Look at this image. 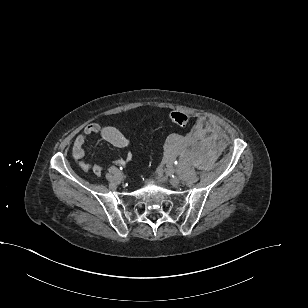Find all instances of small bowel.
Returning a JSON list of instances; mask_svg holds the SVG:
<instances>
[{
    "instance_id": "small-bowel-1",
    "label": "small bowel",
    "mask_w": 308,
    "mask_h": 308,
    "mask_svg": "<svg viewBox=\"0 0 308 308\" xmlns=\"http://www.w3.org/2000/svg\"><path fill=\"white\" fill-rule=\"evenodd\" d=\"M91 135H98L104 141L110 143L117 148H125L129 145V138L113 126H103L98 123L87 125L84 130L76 136L72 147V156L78 162L81 169L85 172H92L96 176H100L103 169L100 165H90L85 161L84 145ZM132 159V154L128 153L125 158L116 160V164L120 166L126 165Z\"/></svg>"
}]
</instances>
